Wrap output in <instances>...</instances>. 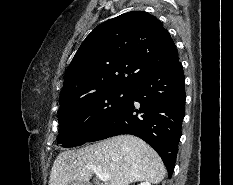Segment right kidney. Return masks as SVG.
<instances>
[{"mask_svg": "<svg viewBox=\"0 0 233 185\" xmlns=\"http://www.w3.org/2000/svg\"><path fill=\"white\" fill-rule=\"evenodd\" d=\"M139 185H151V184L149 182H143V183H141Z\"/></svg>", "mask_w": 233, "mask_h": 185, "instance_id": "ca27d5eb", "label": "right kidney"}]
</instances>
